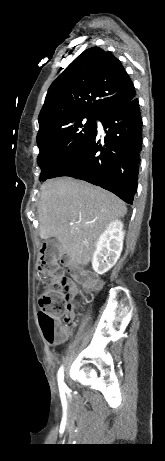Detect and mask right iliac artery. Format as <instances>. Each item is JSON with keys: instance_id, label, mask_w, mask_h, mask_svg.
Returning a JSON list of instances; mask_svg holds the SVG:
<instances>
[{"instance_id": "obj_1", "label": "right iliac artery", "mask_w": 165, "mask_h": 461, "mask_svg": "<svg viewBox=\"0 0 165 461\" xmlns=\"http://www.w3.org/2000/svg\"><path fill=\"white\" fill-rule=\"evenodd\" d=\"M63 378H64V374H63V368L61 367L58 371V385H59V388L60 389H66L67 386L66 384L63 382Z\"/></svg>"}]
</instances>
